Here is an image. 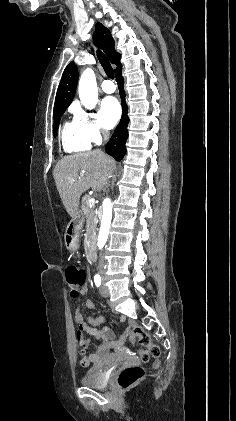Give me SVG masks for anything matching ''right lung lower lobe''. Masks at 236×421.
<instances>
[{
	"label": "right lung lower lobe",
	"mask_w": 236,
	"mask_h": 421,
	"mask_svg": "<svg viewBox=\"0 0 236 421\" xmlns=\"http://www.w3.org/2000/svg\"><path fill=\"white\" fill-rule=\"evenodd\" d=\"M122 68L120 67L116 74V81L118 84L120 97H121V105H122V118L120 123L118 124L117 128L115 129L111 140L106 144L105 150L106 152L111 155L116 161H121L124 157L126 151V140L128 138V130L127 126L129 123L128 118V106L125 102V92L123 90V77L121 75Z\"/></svg>",
	"instance_id": "right-lung-lower-lobe-1"
}]
</instances>
